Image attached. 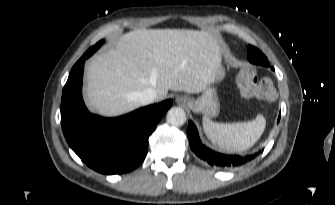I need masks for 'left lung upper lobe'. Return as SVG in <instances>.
<instances>
[{
    "label": "left lung upper lobe",
    "instance_id": "obj_1",
    "mask_svg": "<svg viewBox=\"0 0 335 205\" xmlns=\"http://www.w3.org/2000/svg\"><path fill=\"white\" fill-rule=\"evenodd\" d=\"M248 60L256 65L269 66L266 56L258 48L251 45L248 46Z\"/></svg>",
    "mask_w": 335,
    "mask_h": 205
}]
</instances>
